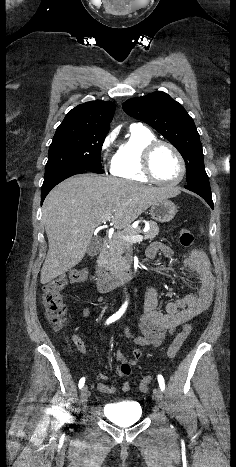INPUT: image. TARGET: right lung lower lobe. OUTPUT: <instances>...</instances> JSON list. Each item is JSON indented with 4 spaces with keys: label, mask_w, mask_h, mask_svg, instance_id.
Returning a JSON list of instances; mask_svg holds the SVG:
<instances>
[{
    "label": "right lung lower lobe",
    "mask_w": 236,
    "mask_h": 467,
    "mask_svg": "<svg viewBox=\"0 0 236 467\" xmlns=\"http://www.w3.org/2000/svg\"><path fill=\"white\" fill-rule=\"evenodd\" d=\"M79 173H86V170L77 169V168L66 169V170H62L57 173L45 176L44 182L41 188V204L43 203L47 194L51 191V189L55 185L59 184L61 181L65 180L66 178L71 177L75 174H79Z\"/></svg>",
    "instance_id": "right-lung-lower-lobe-1"
}]
</instances>
